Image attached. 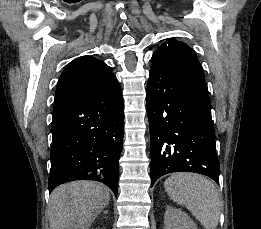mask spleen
<instances>
[{"instance_id": "obj_1", "label": "spleen", "mask_w": 261, "mask_h": 229, "mask_svg": "<svg viewBox=\"0 0 261 229\" xmlns=\"http://www.w3.org/2000/svg\"><path fill=\"white\" fill-rule=\"evenodd\" d=\"M164 189L177 205H184L204 229H217L222 201L212 181L195 173H171Z\"/></svg>"}]
</instances>
